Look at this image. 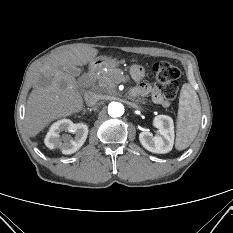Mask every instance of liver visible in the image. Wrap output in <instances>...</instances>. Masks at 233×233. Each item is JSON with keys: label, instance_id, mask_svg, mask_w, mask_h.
Masks as SVG:
<instances>
[{"label": "liver", "instance_id": "6515ba94", "mask_svg": "<svg viewBox=\"0 0 233 233\" xmlns=\"http://www.w3.org/2000/svg\"><path fill=\"white\" fill-rule=\"evenodd\" d=\"M98 54L90 45H79L53 55L35 73L34 89L27 100L25 128L35 137L49 123L83 109L76 76L70 69L87 65Z\"/></svg>", "mask_w": 233, "mask_h": 233}]
</instances>
